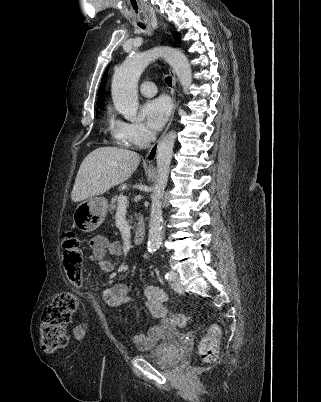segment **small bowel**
Segmentation results:
<instances>
[{
	"mask_svg": "<svg viewBox=\"0 0 321 402\" xmlns=\"http://www.w3.org/2000/svg\"><path fill=\"white\" fill-rule=\"evenodd\" d=\"M93 257L101 272L113 270V263L106 255L119 257L122 255V245L119 241H111L102 234L94 235L89 241ZM144 306L151 316L159 320V324L150 327L146 332L132 336V342L141 350L151 348L160 340L172 338L175 335L176 322L174 314L167 307V295L157 285H147L143 288ZM104 303L110 308H120L132 301L128 287L125 284H114L102 292ZM75 335L80 334V328L74 329Z\"/></svg>",
	"mask_w": 321,
	"mask_h": 402,
	"instance_id": "1",
	"label": "small bowel"
}]
</instances>
